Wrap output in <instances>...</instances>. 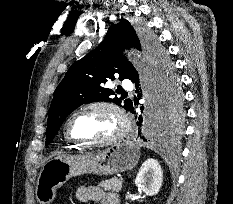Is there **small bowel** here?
<instances>
[{
  "instance_id": "c3829d8e",
  "label": "small bowel",
  "mask_w": 233,
  "mask_h": 204,
  "mask_svg": "<svg viewBox=\"0 0 233 204\" xmlns=\"http://www.w3.org/2000/svg\"><path fill=\"white\" fill-rule=\"evenodd\" d=\"M76 197L79 201H91L95 204H119V197L112 192H105L99 187L84 186L76 191Z\"/></svg>"
}]
</instances>
